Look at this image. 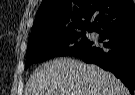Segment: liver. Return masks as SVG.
Wrapping results in <instances>:
<instances>
[{"instance_id": "1", "label": "liver", "mask_w": 135, "mask_h": 95, "mask_svg": "<svg viewBox=\"0 0 135 95\" xmlns=\"http://www.w3.org/2000/svg\"><path fill=\"white\" fill-rule=\"evenodd\" d=\"M24 95H129L110 72L73 59L49 61L35 70Z\"/></svg>"}]
</instances>
